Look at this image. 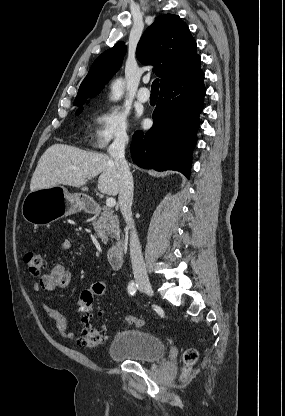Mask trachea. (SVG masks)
Instances as JSON below:
<instances>
[{
    "instance_id": "obj_1",
    "label": "trachea",
    "mask_w": 285,
    "mask_h": 416,
    "mask_svg": "<svg viewBox=\"0 0 285 416\" xmlns=\"http://www.w3.org/2000/svg\"><path fill=\"white\" fill-rule=\"evenodd\" d=\"M151 92H159V78L153 81Z\"/></svg>"
}]
</instances>
